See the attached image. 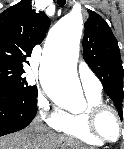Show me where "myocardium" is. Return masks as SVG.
<instances>
[{"label":"myocardium","instance_id":"myocardium-1","mask_svg":"<svg viewBox=\"0 0 124 149\" xmlns=\"http://www.w3.org/2000/svg\"><path fill=\"white\" fill-rule=\"evenodd\" d=\"M106 112H110L114 115L119 127V134L117 138L113 140L107 138L100 131L99 125H98L101 116ZM86 115H87V124H88L89 131L95 138L102 141L103 143H116L120 141L122 137H124V121L120 116L119 112L113 106L106 103L92 104L87 107Z\"/></svg>","mask_w":124,"mask_h":149}]
</instances>
